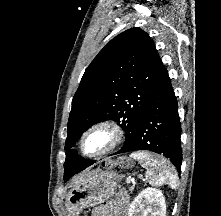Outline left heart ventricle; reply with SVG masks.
<instances>
[{
	"mask_svg": "<svg viewBox=\"0 0 221 216\" xmlns=\"http://www.w3.org/2000/svg\"><path fill=\"white\" fill-rule=\"evenodd\" d=\"M107 137L103 133H96L90 136L85 143V151L88 153L99 150L105 143Z\"/></svg>",
	"mask_w": 221,
	"mask_h": 216,
	"instance_id": "1",
	"label": "left heart ventricle"
}]
</instances>
